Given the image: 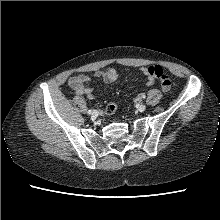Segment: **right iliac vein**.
<instances>
[{
	"label": "right iliac vein",
	"mask_w": 220,
	"mask_h": 220,
	"mask_svg": "<svg viewBox=\"0 0 220 220\" xmlns=\"http://www.w3.org/2000/svg\"><path fill=\"white\" fill-rule=\"evenodd\" d=\"M97 116H98V112H97V111H92V113H91V118H92V119H96Z\"/></svg>",
	"instance_id": "63e3f726"
}]
</instances>
